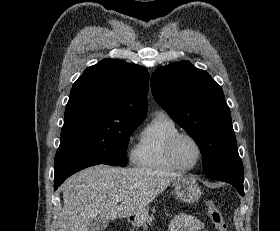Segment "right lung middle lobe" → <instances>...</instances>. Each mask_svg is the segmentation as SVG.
Wrapping results in <instances>:
<instances>
[{
    "instance_id": "obj_1",
    "label": "right lung middle lobe",
    "mask_w": 280,
    "mask_h": 231,
    "mask_svg": "<svg viewBox=\"0 0 280 231\" xmlns=\"http://www.w3.org/2000/svg\"><path fill=\"white\" fill-rule=\"evenodd\" d=\"M141 122L118 118L64 119L56 157L126 166L129 137Z\"/></svg>"
}]
</instances>
